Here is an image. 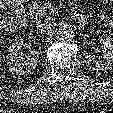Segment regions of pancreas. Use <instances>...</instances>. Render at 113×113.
<instances>
[{
    "label": "pancreas",
    "instance_id": "pancreas-1",
    "mask_svg": "<svg viewBox=\"0 0 113 113\" xmlns=\"http://www.w3.org/2000/svg\"><path fill=\"white\" fill-rule=\"evenodd\" d=\"M29 15L34 24H39L45 18V9L38 3L29 7Z\"/></svg>",
    "mask_w": 113,
    "mask_h": 113
}]
</instances>
